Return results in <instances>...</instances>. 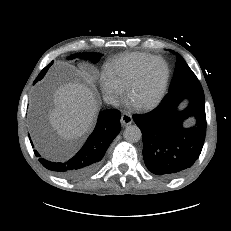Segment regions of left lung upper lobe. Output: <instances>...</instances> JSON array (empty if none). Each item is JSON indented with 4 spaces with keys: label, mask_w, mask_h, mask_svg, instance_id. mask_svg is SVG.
Returning <instances> with one entry per match:
<instances>
[{
    "label": "left lung upper lobe",
    "mask_w": 231,
    "mask_h": 231,
    "mask_svg": "<svg viewBox=\"0 0 231 231\" xmlns=\"http://www.w3.org/2000/svg\"><path fill=\"white\" fill-rule=\"evenodd\" d=\"M170 52L176 56L177 61L174 76L167 95L194 87H202L196 75L189 68L185 60L178 53H175L172 50H170Z\"/></svg>",
    "instance_id": "obj_1"
}]
</instances>
